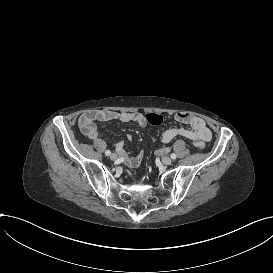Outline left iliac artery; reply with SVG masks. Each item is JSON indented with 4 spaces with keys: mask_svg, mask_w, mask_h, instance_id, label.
Segmentation results:
<instances>
[{
    "mask_svg": "<svg viewBox=\"0 0 273 273\" xmlns=\"http://www.w3.org/2000/svg\"><path fill=\"white\" fill-rule=\"evenodd\" d=\"M176 157H177V156H176L175 153H172V154H171V158H172V159H176Z\"/></svg>",
    "mask_w": 273,
    "mask_h": 273,
    "instance_id": "44dca946",
    "label": "left iliac artery"
}]
</instances>
